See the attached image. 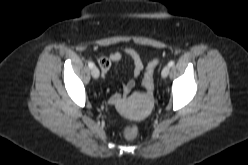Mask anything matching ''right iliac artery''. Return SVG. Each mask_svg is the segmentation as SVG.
<instances>
[{
	"mask_svg": "<svg viewBox=\"0 0 248 165\" xmlns=\"http://www.w3.org/2000/svg\"><path fill=\"white\" fill-rule=\"evenodd\" d=\"M88 66H89V68H91V69H92V68L94 67V63L89 62V63H88Z\"/></svg>",
	"mask_w": 248,
	"mask_h": 165,
	"instance_id": "obj_1",
	"label": "right iliac artery"
}]
</instances>
